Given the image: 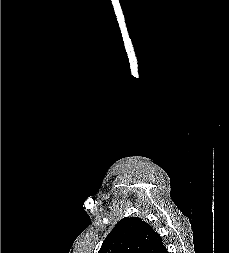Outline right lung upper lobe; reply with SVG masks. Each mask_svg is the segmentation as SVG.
<instances>
[{
	"mask_svg": "<svg viewBox=\"0 0 229 253\" xmlns=\"http://www.w3.org/2000/svg\"><path fill=\"white\" fill-rule=\"evenodd\" d=\"M160 235L138 217L121 219L98 253H166Z\"/></svg>",
	"mask_w": 229,
	"mask_h": 253,
	"instance_id": "obj_1",
	"label": "right lung upper lobe"
}]
</instances>
